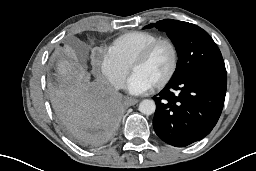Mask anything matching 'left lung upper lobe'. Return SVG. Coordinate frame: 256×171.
<instances>
[{
	"instance_id": "5c2ea615",
	"label": "left lung upper lobe",
	"mask_w": 256,
	"mask_h": 171,
	"mask_svg": "<svg viewBox=\"0 0 256 171\" xmlns=\"http://www.w3.org/2000/svg\"><path fill=\"white\" fill-rule=\"evenodd\" d=\"M156 27L167 35L176 46L178 62L170 81L201 68L225 67L222 55L208 33L197 25L178 20L164 19L151 23L144 29Z\"/></svg>"
}]
</instances>
